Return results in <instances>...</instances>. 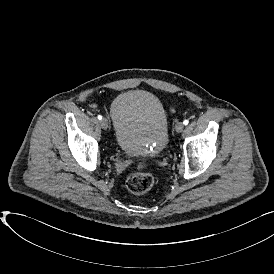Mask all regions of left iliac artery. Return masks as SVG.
<instances>
[{
    "label": "left iliac artery",
    "instance_id": "obj_1",
    "mask_svg": "<svg viewBox=\"0 0 274 274\" xmlns=\"http://www.w3.org/2000/svg\"><path fill=\"white\" fill-rule=\"evenodd\" d=\"M188 123H189L188 120H184V121H183V124H184V125H187Z\"/></svg>",
    "mask_w": 274,
    "mask_h": 274
}]
</instances>
